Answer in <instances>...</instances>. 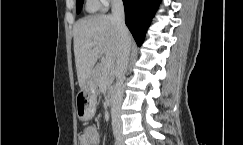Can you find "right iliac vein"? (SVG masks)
<instances>
[{
  "mask_svg": "<svg viewBox=\"0 0 243 145\" xmlns=\"http://www.w3.org/2000/svg\"><path fill=\"white\" fill-rule=\"evenodd\" d=\"M117 140H118V141H122V137L118 135V136H117Z\"/></svg>",
  "mask_w": 243,
  "mask_h": 145,
  "instance_id": "obj_1",
  "label": "right iliac vein"
}]
</instances>
